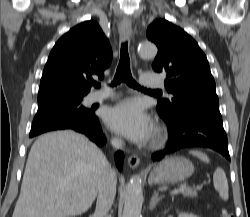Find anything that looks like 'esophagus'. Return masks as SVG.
<instances>
[{"label":"esophagus","mask_w":250,"mask_h":217,"mask_svg":"<svg viewBox=\"0 0 250 217\" xmlns=\"http://www.w3.org/2000/svg\"><path fill=\"white\" fill-rule=\"evenodd\" d=\"M119 34L121 39L126 40V39H130L132 36V25H131V21L128 18H124L120 24H119ZM133 61L134 64H137V60L135 58V56L133 55ZM140 163V159L137 155L132 154L131 156H129L128 158V165L130 166V168L135 169L138 167Z\"/></svg>","instance_id":"obj_1"}]
</instances>
